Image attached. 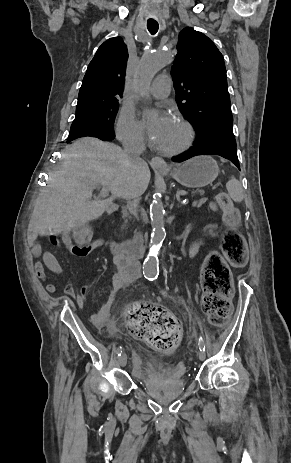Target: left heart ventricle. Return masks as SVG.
<instances>
[{"instance_id": "left-heart-ventricle-1", "label": "left heart ventricle", "mask_w": 291, "mask_h": 463, "mask_svg": "<svg viewBox=\"0 0 291 463\" xmlns=\"http://www.w3.org/2000/svg\"><path fill=\"white\" fill-rule=\"evenodd\" d=\"M183 139V131L179 124L175 122V125L169 135L166 137L162 145L160 146L163 149H170L177 146Z\"/></svg>"}]
</instances>
